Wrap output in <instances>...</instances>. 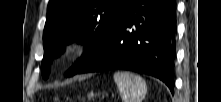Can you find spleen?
Here are the masks:
<instances>
[{
  "instance_id": "obj_1",
  "label": "spleen",
  "mask_w": 221,
  "mask_h": 102,
  "mask_svg": "<svg viewBox=\"0 0 221 102\" xmlns=\"http://www.w3.org/2000/svg\"><path fill=\"white\" fill-rule=\"evenodd\" d=\"M113 78L123 102H142L147 92L146 82L142 77L130 72L117 71Z\"/></svg>"
}]
</instances>
